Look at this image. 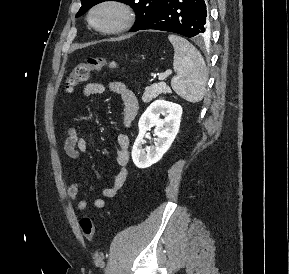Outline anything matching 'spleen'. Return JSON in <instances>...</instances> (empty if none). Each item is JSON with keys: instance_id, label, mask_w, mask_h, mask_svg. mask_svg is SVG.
<instances>
[{"instance_id": "spleen-1", "label": "spleen", "mask_w": 289, "mask_h": 274, "mask_svg": "<svg viewBox=\"0 0 289 274\" xmlns=\"http://www.w3.org/2000/svg\"><path fill=\"white\" fill-rule=\"evenodd\" d=\"M174 47L173 68L176 72L171 80L172 89L189 102L202 100L207 83V67L200 52L186 39L169 35Z\"/></svg>"}]
</instances>
